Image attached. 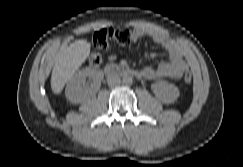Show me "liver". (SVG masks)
I'll return each mask as SVG.
<instances>
[{"instance_id":"obj_1","label":"liver","mask_w":243,"mask_h":167,"mask_svg":"<svg viewBox=\"0 0 243 167\" xmlns=\"http://www.w3.org/2000/svg\"><path fill=\"white\" fill-rule=\"evenodd\" d=\"M90 48V43L81 39L71 43L60 53L51 75V89L54 94H59L71 80L89 56Z\"/></svg>"}]
</instances>
